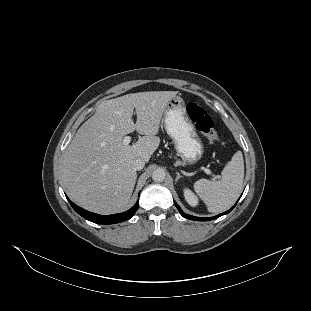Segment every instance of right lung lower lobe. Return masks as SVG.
<instances>
[{
  "mask_svg": "<svg viewBox=\"0 0 311 311\" xmlns=\"http://www.w3.org/2000/svg\"><path fill=\"white\" fill-rule=\"evenodd\" d=\"M67 199L69 203L71 204V206L73 207V209L78 214H80L85 219L91 222L97 223V224H114V223H119V222L128 220L135 214L139 206V204H136L130 210L123 212V213H118V214H113V215H99V214L86 211L78 207L77 205H75L73 202H71L68 197Z\"/></svg>",
  "mask_w": 311,
  "mask_h": 311,
  "instance_id": "obj_1",
  "label": "right lung lower lobe"
}]
</instances>
